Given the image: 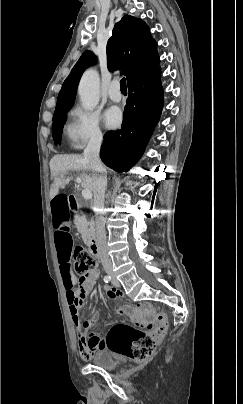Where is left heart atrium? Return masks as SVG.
I'll use <instances>...</instances> for the list:
<instances>
[{
  "label": "left heart atrium",
  "mask_w": 243,
  "mask_h": 404,
  "mask_svg": "<svg viewBox=\"0 0 243 404\" xmlns=\"http://www.w3.org/2000/svg\"><path fill=\"white\" fill-rule=\"evenodd\" d=\"M121 119V111L117 107H110L103 114L104 126L107 129H114L119 126Z\"/></svg>",
  "instance_id": "left-heart-atrium-1"
}]
</instances>
